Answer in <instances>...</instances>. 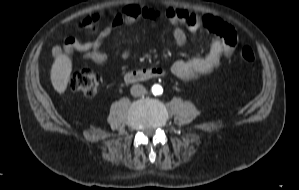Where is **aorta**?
Segmentation results:
<instances>
[{"label": "aorta", "instance_id": "aorta-1", "mask_svg": "<svg viewBox=\"0 0 299 190\" xmlns=\"http://www.w3.org/2000/svg\"><path fill=\"white\" fill-rule=\"evenodd\" d=\"M152 93L154 95L161 94L162 93V87L160 85H154L152 87Z\"/></svg>", "mask_w": 299, "mask_h": 190}]
</instances>
